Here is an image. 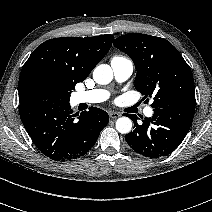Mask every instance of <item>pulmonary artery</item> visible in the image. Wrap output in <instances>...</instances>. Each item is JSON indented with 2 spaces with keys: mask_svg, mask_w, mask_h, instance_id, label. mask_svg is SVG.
I'll return each mask as SVG.
<instances>
[{
  "mask_svg": "<svg viewBox=\"0 0 212 212\" xmlns=\"http://www.w3.org/2000/svg\"><path fill=\"white\" fill-rule=\"evenodd\" d=\"M111 68L116 81L119 83L126 81L132 75L134 70L132 61L124 57L113 58L111 60ZM108 97L109 92L107 90L96 89L75 93L73 96V102L75 104H93L103 102L108 99ZM143 112L147 117H151L153 115V109L150 106L146 107Z\"/></svg>",
  "mask_w": 212,
  "mask_h": 212,
  "instance_id": "pulmonary-artery-1",
  "label": "pulmonary artery"
}]
</instances>
